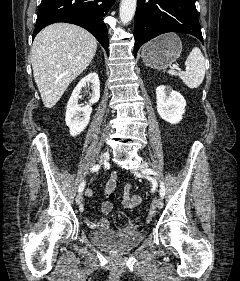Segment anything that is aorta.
Listing matches in <instances>:
<instances>
[{
    "label": "aorta",
    "instance_id": "aorta-1",
    "mask_svg": "<svg viewBox=\"0 0 240 281\" xmlns=\"http://www.w3.org/2000/svg\"><path fill=\"white\" fill-rule=\"evenodd\" d=\"M137 0H121L119 16L121 22L128 24L134 17Z\"/></svg>",
    "mask_w": 240,
    "mask_h": 281
}]
</instances>
